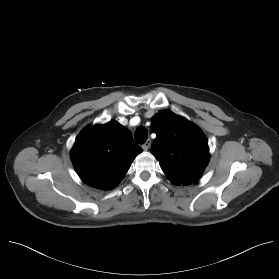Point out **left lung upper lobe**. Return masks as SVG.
<instances>
[{"label":"left lung upper lobe","mask_w":279,"mask_h":279,"mask_svg":"<svg viewBox=\"0 0 279 279\" xmlns=\"http://www.w3.org/2000/svg\"><path fill=\"white\" fill-rule=\"evenodd\" d=\"M156 133L151 153L174 184L195 183L209 162L208 141L192 122L172 111L162 110L152 117Z\"/></svg>","instance_id":"obj_1"}]
</instances>
